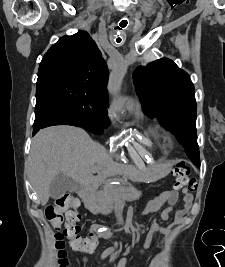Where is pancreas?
I'll return each mask as SVG.
<instances>
[{"label":"pancreas","mask_w":225,"mask_h":267,"mask_svg":"<svg viewBox=\"0 0 225 267\" xmlns=\"http://www.w3.org/2000/svg\"><path fill=\"white\" fill-rule=\"evenodd\" d=\"M96 198L100 212L109 214L113 209L118 210V205L125 200H136L141 196V192L135 188H114L106 187L96 193Z\"/></svg>","instance_id":"1"}]
</instances>
